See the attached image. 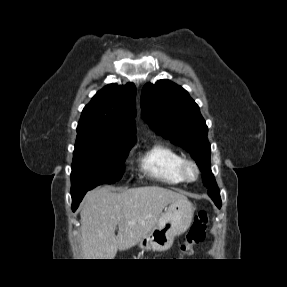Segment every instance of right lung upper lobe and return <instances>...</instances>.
<instances>
[{"mask_svg":"<svg viewBox=\"0 0 287 287\" xmlns=\"http://www.w3.org/2000/svg\"><path fill=\"white\" fill-rule=\"evenodd\" d=\"M135 94L133 83L105 86L83 109L78 134L135 141Z\"/></svg>","mask_w":287,"mask_h":287,"instance_id":"right-lung-upper-lobe-1","label":"right lung upper lobe"}]
</instances>
